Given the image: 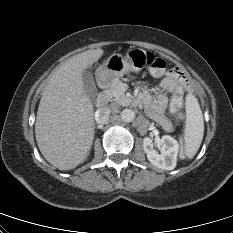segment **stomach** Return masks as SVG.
Returning <instances> with one entry per match:
<instances>
[{
	"label": "stomach",
	"mask_w": 233,
	"mask_h": 233,
	"mask_svg": "<svg viewBox=\"0 0 233 233\" xmlns=\"http://www.w3.org/2000/svg\"><path fill=\"white\" fill-rule=\"evenodd\" d=\"M147 53L140 48L129 49L125 56L111 55L99 68L102 79L113 82L129 72H139L146 66Z\"/></svg>",
	"instance_id": "obj_1"
}]
</instances>
